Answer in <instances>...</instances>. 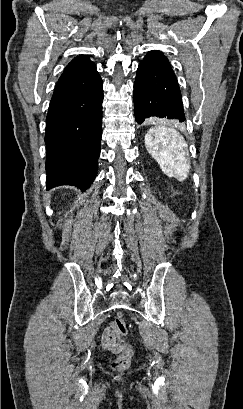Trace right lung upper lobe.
Returning a JSON list of instances; mask_svg holds the SVG:
<instances>
[{"mask_svg":"<svg viewBox=\"0 0 243 409\" xmlns=\"http://www.w3.org/2000/svg\"><path fill=\"white\" fill-rule=\"evenodd\" d=\"M95 66L91 60L86 56H79L74 58L64 69V72L77 73L88 70L89 68Z\"/></svg>","mask_w":243,"mask_h":409,"instance_id":"1","label":"right lung upper lobe"}]
</instances>
